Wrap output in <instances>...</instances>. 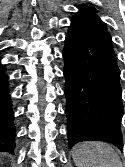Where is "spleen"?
Wrapping results in <instances>:
<instances>
[{
  "label": "spleen",
  "mask_w": 125,
  "mask_h": 167,
  "mask_svg": "<svg viewBox=\"0 0 125 167\" xmlns=\"http://www.w3.org/2000/svg\"><path fill=\"white\" fill-rule=\"evenodd\" d=\"M71 154L77 167H123L114 148L103 142L79 143L73 147Z\"/></svg>",
  "instance_id": "obj_1"
}]
</instances>
